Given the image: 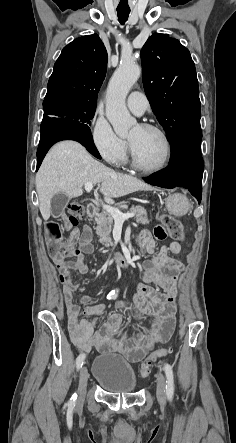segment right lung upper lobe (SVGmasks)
Instances as JSON below:
<instances>
[{"mask_svg": "<svg viewBox=\"0 0 236 443\" xmlns=\"http://www.w3.org/2000/svg\"><path fill=\"white\" fill-rule=\"evenodd\" d=\"M107 51L97 34L75 39L65 46L48 82L44 102L75 98L96 104L105 78Z\"/></svg>", "mask_w": 236, "mask_h": 443, "instance_id": "right-lung-upper-lobe-1", "label": "right lung upper lobe"}]
</instances>
